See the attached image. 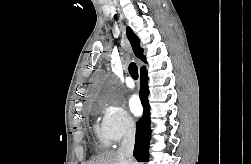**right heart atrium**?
Here are the masks:
<instances>
[{"label":"right heart atrium","mask_w":251,"mask_h":164,"mask_svg":"<svg viewBox=\"0 0 251 164\" xmlns=\"http://www.w3.org/2000/svg\"><path fill=\"white\" fill-rule=\"evenodd\" d=\"M101 129L110 142L118 143L134 134L136 124L127 110L113 100L100 105Z\"/></svg>","instance_id":"obj_1"}]
</instances>
